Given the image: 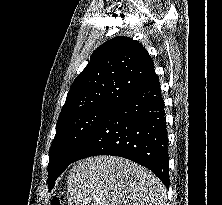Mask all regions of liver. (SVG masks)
I'll return each instance as SVG.
<instances>
[{"instance_id":"obj_1","label":"liver","mask_w":222,"mask_h":205,"mask_svg":"<svg viewBox=\"0 0 222 205\" xmlns=\"http://www.w3.org/2000/svg\"><path fill=\"white\" fill-rule=\"evenodd\" d=\"M68 205H166V188L148 169L115 156L78 161L67 178Z\"/></svg>"}]
</instances>
